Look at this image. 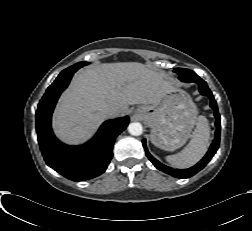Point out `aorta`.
I'll list each match as a JSON object with an SVG mask.
<instances>
[{
	"mask_svg": "<svg viewBox=\"0 0 252 231\" xmlns=\"http://www.w3.org/2000/svg\"><path fill=\"white\" fill-rule=\"evenodd\" d=\"M128 132L133 136H139L143 132V127L139 122L130 123L128 126Z\"/></svg>",
	"mask_w": 252,
	"mask_h": 231,
	"instance_id": "762f6f07",
	"label": "aorta"
}]
</instances>
